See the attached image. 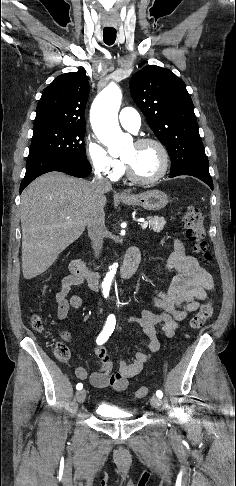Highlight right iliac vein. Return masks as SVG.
<instances>
[{
    "instance_id": "right-iliac-vein-1",
    "label": "right iliac vein",
    "mask_w": 236,
    "mask_h": 486,
    "mask_svg": "<svg viewBox=\"0 0 236 486\" xmlns=\"http://www.w3.org/2000/svg\"><path fill=\"white\" fill-rule=\"evenodd\" d=\"M85 398H86V391L85 390H81L79 392H77V400L79 403H83L85 401Z\"/></svg>"
}]
</instances>
